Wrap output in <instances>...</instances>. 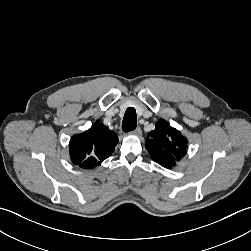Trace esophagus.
Segmentation results:
<instances>
[{
    "label": "esophagus",
    "mask_w": 251,
    "mask_h": 251,
    "mask_svg": "<svg viewBox=\"0 0 251 251\" xmlns=\"http://www.w3.org/2000/svg\"><path fill=\"white\" fill-rule=\"evenodd\" d=\"M132 133L137 136L141 135L142 133L141 128L137 127L135 130L132 131Z\"/></svg>",
    "instance_id": "34e87169"
}]
</instances>
